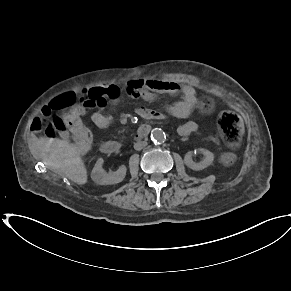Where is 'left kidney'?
<instances>
[{
    "label": "left kidney",
    "instance_id": "5707ae66",
    "mask_svg": "<svg viewBox=\"0 0 291 291\" xmlns=\"http://www.w3.org/2000/svg\"><path fill=\"white\" fill-rule=\"evenodd\" d=\"M198 151L204 155V160L199 162V163H196L192 160V155H193L192 151L187 152L185 157H184V162H185L186 166L192 170H195V171L205 169L206 167L211 165L213 160H214V155L209 150L204 149V148H200V149H198Z\"/></svg>",
    "mask_w": 291,
    "mask_h": 291
}]
</instances>
